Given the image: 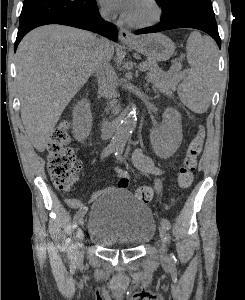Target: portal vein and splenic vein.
<instances>
[{"mask_svg":"<svg viewBox=\"0 0 245 300\" xmlns=\"http://www.w3.org/2000/svg\"><path fill=\"white\" fill-rule=\"evenodd\" d=\"M139 68H140L141 71H145L146 70V65L144 63H141L139 65Z\"/></svg>","mask_w":245,"mask_h":300,"instance_id":"1","label":"portal vein and splenic vein"}]
</instances>
